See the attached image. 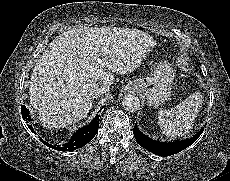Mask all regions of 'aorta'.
I'll use <instances>...</instances> for the list:
<instances>
[{
    "label": "aorta",
    "mask_w": 230,
    "mask_h": 181,
    "mask_svg": "<svg viewBox=\"0 0 230 181\" xmlns=\"http://www.w3.org/2000/svg\"><path fill=\"white\" fill-rule=\"evenodd\" d=\"M122 105L128 112H136L140 110L141 102L139 98L132 94H127L123 97Z\"/></svg>",
    "instance_id": "obj_1"
}]
</instances>
